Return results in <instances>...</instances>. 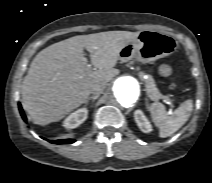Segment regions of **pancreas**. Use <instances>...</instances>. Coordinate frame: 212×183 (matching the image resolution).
Returning <instances> with one entry per match:
<instances>
[{"label":"pancreas","instance_id":"1","mask_svg":"<svg viewBox=\"0 0 212 183\" xmlns=\"http://www.w3.org/2000/svg\"><path fill=\"white\" fill-rule=\"evenodd\" d=\"M144 82H145L146 92L148 97L153 101L159 100L162 94L156 87L154 79L151 76H149Z\"/></svg>","mask_w":212,"mask_h":183}]
</instances>
